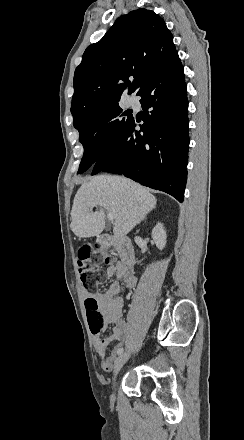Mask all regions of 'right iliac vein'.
<instances>
[{"mask_svg": "<svg viewBox=\"0 0 244 440\" xmlns=\"http://www.w3.org/2000/svg\"><path fill=\"white\" fill-rule=\"evenodd\" d=\"M130 357V353L129 352H125L123 354H121L116 360H115V370H114V376H113V388H114V383H115V378L117 376V374L119 373V371L121 370V368L123 367V365L128 361Z\"/></svg>", "mask_w": 244, "mask_h": 440, "instance_id": "obj_1", "label": "right iliac vein"}]
</instances>
